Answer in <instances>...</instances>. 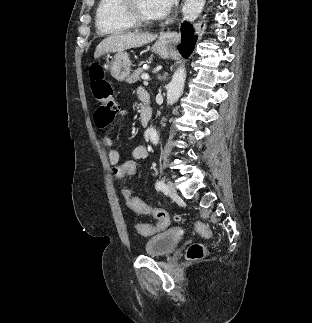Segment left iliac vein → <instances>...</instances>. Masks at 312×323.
Returning <instances> with one entry per match:
<instances>
[{"label":"left iliac vein","mask_w":312,"mask_h":323,"mask_svg":"<svg viewBox=\"0 0 312 323\" xmlns=\"http://www.w3.org/2000/svg\"><path fill=\"white\" fill-rule=\"evenodd\" d=\"M166 193L168 195H174L176 194V188L172 181H168L166 185Z\"/></svg>","instance_id":"4c4485c4"}]
</instances>
